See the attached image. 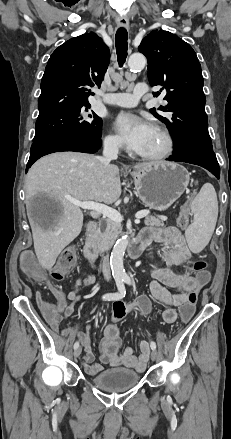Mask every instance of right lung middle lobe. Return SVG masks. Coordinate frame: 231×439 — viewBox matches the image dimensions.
Instances as JSON below:
<instances>
[{"instance_id":"1","label":"right lung middle lobe","mask_w":231,"mask_h":439,"mask_svg":"<svg viewBox=\"0 0 231 439\" xmlns=\"http://www.w3.org/2000/svg\"><path fill=\"white\" fill-rule=\"evenodd\" d=\"M87 106L56 111L40 117L36 121V133L33 142L59 136L101 137L102 119Z\"/></svg>"}]
</instances>
